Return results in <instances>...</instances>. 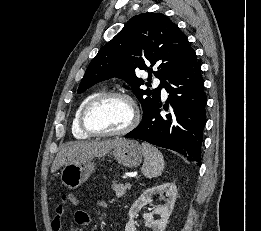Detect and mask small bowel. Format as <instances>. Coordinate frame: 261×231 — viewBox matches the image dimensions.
<instances>
[{
	"mask_svg": "<svg viewBox=\"0 0 261 231\" xmlns=\"http://www.w3.org/2000/svg\"><path fill=\"white\" fill-rule=\"evenodd\" d=\"M99 205L101 207H106L107 204L103 200H99ZM64 213L65 211L62 207L60 205L57 206L56 214L52 222L54 231H61ZM75 221L79 226H88L91 222V217L87 211L79 209L75 212Z\"/></svg>",
	"mask_w": 261,
	"mask_h": 231,
	"instance_id": "obj_1",
	"label": "small bowel"
}]
</instances>
